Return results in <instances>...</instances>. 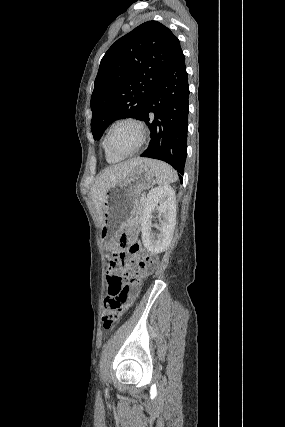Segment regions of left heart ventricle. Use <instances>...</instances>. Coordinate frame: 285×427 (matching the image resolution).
Returning a JSON list of instances; mask_svg holds the SVG:
<instances>
[{"label":"left heart ventricle","instance_id":"left-heart-ventricle-1","mask_svg":"<svg viewBox=\"0 0 285 427\" xmlns=\"http://www.w3.org/2000/svg\"><path fill=\"white\" fill-rule=\"evenodd\" d=\"M139 134L137 128L128 123L115 126L108 137L109 148L119 154L130 152L138 143Z\"/></svg>","mask_w":285,"mask_h":427}]
</instances>
